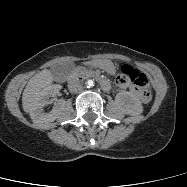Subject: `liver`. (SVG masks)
<instances>
[{"mask_svg":"<svg viewBox=\"0 0 187 187\" xmlns=\"http://www.w3.org/2000/svg\"><path fill=\"white\" fill-rule=\"evenodd\" d=\"M54 77L51 70L44 69L30 79L22 94L23 110L30 114L31 118L42 100V94L52 86ZM33 120V119H32Z\"/></svg>","mask_w":187,"mask_h":187,"instance_id":"liver-1","label":"liver"}]
</instances>
